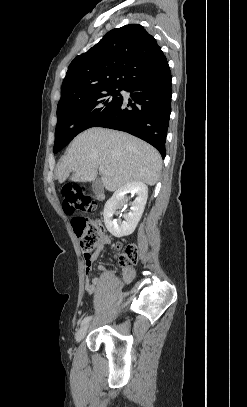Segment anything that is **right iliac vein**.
Masks as SVG:
<instances>
[{
  "label": "right iliac vein",
  "mask_w": 247,
  "mask_h": 407,
  "mask_svg": "<svg viewBox=\"0 0 247 407\" xmlns=\"http://www.w3.org/2000/svg\"><path fill=\"white\" fill-rule=\"evenodd\" d=\"M88 324L83 325L76 333L75 339L77 342L81 341L87 333Z\"/></svg>",
  "instance_id": "1"
}]
</instances>
